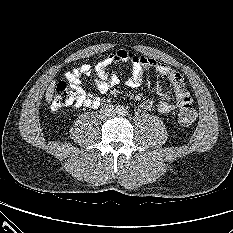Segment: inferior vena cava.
I'll list each match as a JSON object with an SVG mask.
<instances>
[{"mask_svg":"<svg viewBox=\"0 0 233 233\" xmlns=\"http://www.w3.org/2000/svg\"><path fill=\"white\" fill-rule=\"evenodd\" d=\"M104 112V111H103ZM111 116H113V111L111 110V112L109 113V114H107V116L106 117H111Z\"/></svg>","mask_w":233,"mask_h":233,"instance_id":"1","label":"inferior vena cava"}]
</instances>
